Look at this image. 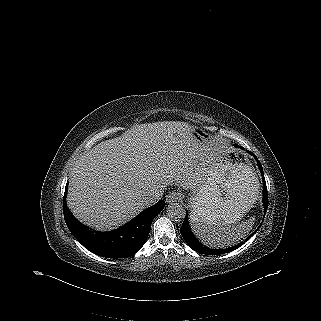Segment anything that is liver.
Returning a JSON list of instances; mask_svg holds the SVG:
<instances>
[{
	"instance_id": "liver-1",
	"label": "liver",
	"mask_w": 321,
	"mask_h": 321,
	"mask_svg": "<svg viewBox=\"0 0 321 321\" xmlns=\"http://www.w3.org/2000/svg\"><path fill=\"white\" fill-rule=\"evenodd\" d=\"M177 147L178 153L166 149ZM208 149L180 121L140 124L95 145L75 163L67 203L75 217L97 230L125 224L147 206L143 197L172 183L194 189L208 168ZM203 162V163H204Z\"/></svg>"
}]
</instances>
